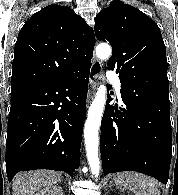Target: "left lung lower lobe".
Segmentation results:
<instances>
[{
    "instance_id": "obj_1",
    "label": "left lung lower lobe",
    "mask_w": 178,
    "mask_h": 195,
    "mask_svg": "<svg viewBox=\"0 0 178 195\" xmlns=\"http://www.w3.org/2000/svg\"><path fill=\"white\" fill-rule=\"evenodd\" d=\"M121 98L123 107L107 104L101 122L104 174L137 171L167 184L172 155L170 104L134 96L123 88Z\"/></svg>"
}]
</instances>
